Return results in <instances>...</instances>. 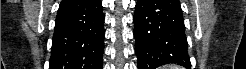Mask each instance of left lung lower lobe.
Listing matches in <instances>:
<instances>
[{
	"label": "left lung lower lobe",
	"mask_w": 246,
	"mask_h": 69,
	"mask_svg": "<svg viewBox=\"0 0 246 69\" xmlns=\"http://www.w3.org/2000/svg\"><path fill=\"white\" fill-rule=\"evenodd\" d=\"M134 25L138 69L167 63L191 66L182 11L168 0H138Z\"/></svg>",
	"instance_id": "0a47b994"
}]
</instances>
